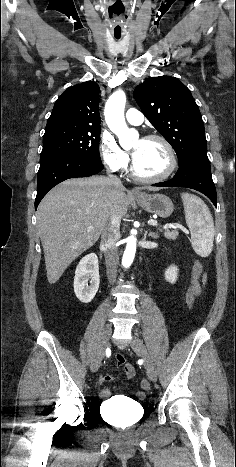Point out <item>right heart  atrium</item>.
I'll return each mask as SVG.
<instances>
[{"instance_id":"obj_1","label":"right heart atrium","mask_w":236,"mask_h":467,"mask_svg":"<svg viewBox=\"0 0 236 467\" xmlns=\"http://www.w3.org/2000/svg\"><path fill=\"white\" fill-rule=\"evenodd\" d=\"M99 151L102 162L112 172H124L129 165V156L117 144L114 137L104 133L100 138Z\"/></svg>"}]
</instances>
